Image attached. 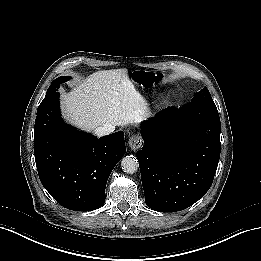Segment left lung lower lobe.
<instances>
[{
  "mask_svg": "<svg viewBox=\"0 0 261 261\" xmlns=\"http://www.w3.org/2000/svg\"><path fill=\"white\" fill-rule=\"evenodd\" d=\"M217 108L190 103L142 123L137 152L145 202L159 212L184 210L209 190L220 158Z\"/></svg>",
  "mask_w": 261,
  "mask_h": 261,
  "instance_id": "1",
  "label": "left lung lower lobe"
}]
</instances>
